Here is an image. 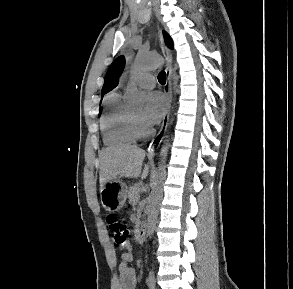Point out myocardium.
<instances>
[{
    "instance_id": "myocardium-1",
    "label": "myocardium",
    "mask_w": 293,
    "mask_h": 289,
    "mask_svg": "<svg viewBox=\"0 0 293 289\" xmlns=\"http://www.w3.org/2000/svg\"><path fill=\"white\" fill-rule=\"evenodd\" d=\"M133 132L136 138H145L151 135L152 131L144 123L132 114Z\"/></svg>"
}]
</instances>
